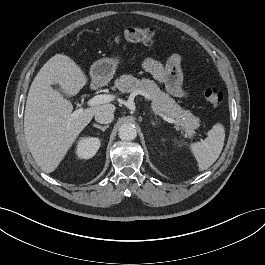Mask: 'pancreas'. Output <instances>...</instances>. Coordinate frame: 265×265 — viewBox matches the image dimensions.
Segmentation results:
<instances>
[{
  "label": "pancreas",
  "instance_id": "1",
  "mask_svg": "<svg viewBox=\"0 0 265 265\" xmlns=\"http://www.w3.org/2000/svg\"><path fill=\"white\" fill-rule=\"evenodd\" d=\"M115 87L122 93H137L152 100L154 110L173 118L176 124L185 130V135L192 137L194 129L200 125V119L190 111L184 110L169 94L161 91L153 80L137 79L132 75H122L115 81Z\"/></svg>",
  "mask_w": 265,
  "mask_h": 265
}]
</instances>
